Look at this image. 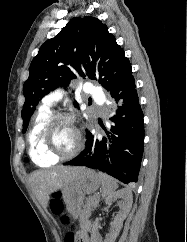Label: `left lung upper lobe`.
I'll use <instances>...</instances> for the list:
<instances>
[{"label":"left lung upper lobe","instance_id":"5c2ea615","mask_svg":"<svg viewBox=\"0 0 187 242\" xmlns=\"http://www.w3.org/2000/svg\"><path fill=\"white\" fill-rule=\"evenodd\" d=\"M130 75L131 64L105 24L90 16L71 19L31 62L23 87V132L39 100L77 76L97 80L110 92Z\"/></svg>","mask_w":187,"mask_h":242}]
</instances>
